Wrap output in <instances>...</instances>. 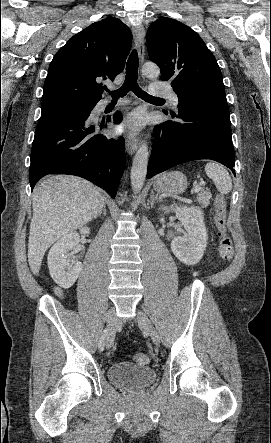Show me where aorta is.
Instances as JSON below:
<instances>
[{"label": "aorta", "mask_w": 271, "mask_h": 443, "mask_svg": "<svg viewBox=\"0 0 271 443\" xmlns=\"http://www.w3.org/2000/svg\"><path fill=\"white\" fill-rule=\"evenodd\" d=\"M142 74L143 76H146V78H158V76H160V70L156 64L147 62L142 68ZM148 158V146L147 144H141L134 156L130 174L131 186L134 194H139L144 186L145 178L147 176Z\"/></svg>", "instance_id": "762f6f07"}]
</instances>
